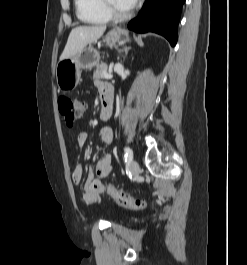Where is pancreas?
Segmentation results:
<instances>
[{"instance_id": "pancreas-1", "label": "pancreas", "mask_w": 247, "mask_h": 265, "mask_svg": "<svg viewBox=\"0 0 247 265\" xmlns=\"http://www.w3.org/2000/svg\"><path fill=\"white\" fill-rule=\"evenodd\" d=\"M105 74H107V65L105 63H100L96 66V69L93 73V78L104 79Z\"/></svg>"}]
</instances>
